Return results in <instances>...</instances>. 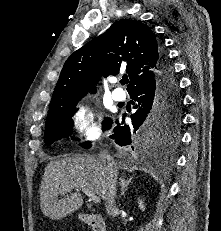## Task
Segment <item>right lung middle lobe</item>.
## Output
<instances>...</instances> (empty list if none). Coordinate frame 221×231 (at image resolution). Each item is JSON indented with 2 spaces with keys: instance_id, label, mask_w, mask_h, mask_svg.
I'll return each mask as SVG.
<instances>
[{
  "instance_id": "dd1d6c3e",
  "label": "right lung middle lobe",
  "mask_w": 221,
  "mask_h": 231,
  "mask_svg": "<svg viewBox=\"0 0 221 231\" xmlns=\"http://www.w3.org/2000/svg\"><path fill=\"white\" fill-rule=\"evenodd\" d=\"M81 98L68 100L48 116L44 135L46 143L52 144L54 141L69 135L71 132L69 129H72L73 125L72 116ZM181 115V100L168 95L160 96L147 122L142 127V131L149 141L165 146L177 137ZM108 122L106 120L102 123L103 129Z\"/></svg>"
}]
</instances>
